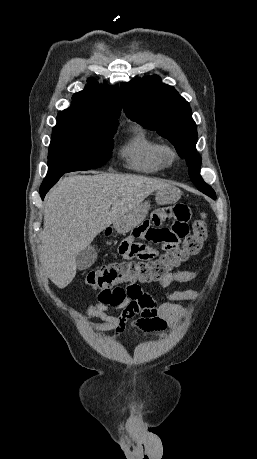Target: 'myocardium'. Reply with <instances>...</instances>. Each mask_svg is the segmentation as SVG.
I'll return each instance as SVG.
<instances>
[{
  "label": "myocardium",
  "instance_id": "obj_1",
  "mask_svg": "<svg viewBox=\"0 0 257 459\" xmlns=\"http://www.w3.org/2000/svg\"><path fill=\"white\" fill-rule=\"evenodd\" d=\"M160 154L165 165H172L178 156L175 148L170 145H162L160 149Z\"/></svg>",
  "mask_w": 257,
  "mask_h": 459
}]
</instances>
